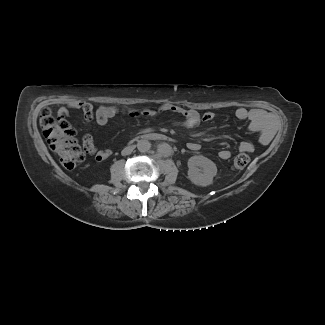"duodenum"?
<instances>
[{
  "mask_svg": "<svg viewBox=\"0 0 325 325\" xmlns=\"http://www.w3.org/2000/svg\"><path fill=\"white\" fill-rule=\"evenodd\" d=\"M139 139H150V140H157V141H167L168 137L163 133L158 132H150L145 133L139 137Z\"/></svg>",
  "mask_w": 325,
  "mask_h": 325,
  "instance_id": "410a0bca",
  "label": "duodenum"
}]
</instances>
